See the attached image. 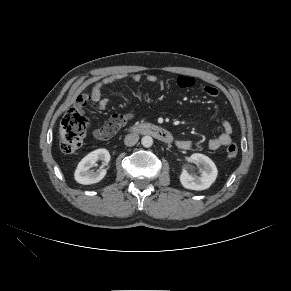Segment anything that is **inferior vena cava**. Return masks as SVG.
Instances as JSON below:
<instances>
[{
  "mask_svg": "<svg viewBox=\"0 0 291 291\" xmlns=\"http://www.w3.org/2000/svg\"><path fill=\"white\" fill-rule=\"evenodd\" d=\"M139 140V135L137 133H132L126 135L124 143L126 146H134Z\"/></svg>",
  "mask_w": 291,
  "mask_h": 291,
  "instance_id": "obj_1",
  "label": "inferior vena cava"
}]
</instances>
